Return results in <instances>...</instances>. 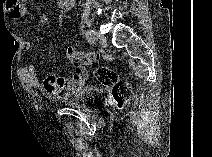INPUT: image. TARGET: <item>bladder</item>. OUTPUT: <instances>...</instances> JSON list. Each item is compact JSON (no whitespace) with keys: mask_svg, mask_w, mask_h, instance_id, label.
Returning a JSON list of instances; mask_svg holds the SVG:
<instances>
[{"mask_svg":"<svg viewBox=\"0 0 212 157\" xmlns=\"http://www.w3.org/2000/svg\"><path fill=\"white\" fill-rule=\"evenodd\" d=\"M103 96V89L96 86H89L78 91L67 93L62 97L60 102L69 107L77 108L86 112H92Z\"/></svg>","mask_w":212,"mask_h":157,"instance_id":"1","label":"bladder"}]
</instances>
